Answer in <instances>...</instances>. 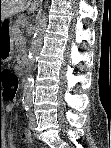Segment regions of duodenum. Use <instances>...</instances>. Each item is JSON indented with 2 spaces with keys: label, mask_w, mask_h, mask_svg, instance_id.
Instances as JSON below:
<instances>
[{
  "label": "duodenum",
  "mask_w": 111,
  "mask_h": 148,
  "mask_svg": "<svg viewBox=\"0 0 111 148\" xmlns=\"http://www.w3.org/2000/svg\"><path fill=\"white\" fill-rule=\"evenodd\" d=\"M19 62H20L21 66H26L27 65V58L25 56H21Z\"/></svg>",
  "instance_id": "1"
}]
</instances>
